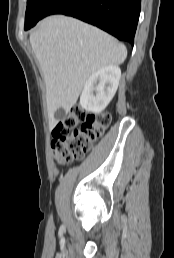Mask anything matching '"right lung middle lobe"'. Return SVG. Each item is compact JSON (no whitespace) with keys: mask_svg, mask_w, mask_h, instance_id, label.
I'll return each instance as SVG.
<instances>
[{"mask_svg":"<svg viewBox=\"0 0 174 258\" xmlns=\"http://www.w3.org/2000/svg\"><path fill=\"white\" fill-rule=\"evenodd\" d=\"M55 0H27L24 29L32 28L44 17V12Z\"/></svg>","mask_w":174,"mask_h":258,"instance_id":"1","label":"right lung middle lobe"}]
</instances>
